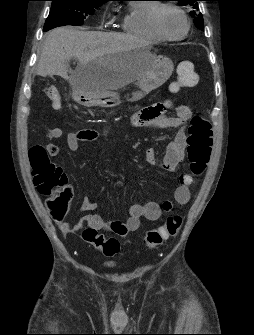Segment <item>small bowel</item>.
Returning <instances> with one entry per match:
<instances>
[{"label": "small bowel", "mask_w": 254, "mask_h": 335, "mask_svg": "<svg viewBox=\"0 0 254 335\" xmlns=\"http://www.w3.org/2000/svg\"><path fill=\"white\" fill-rule=\"evenodd\" d=\"M173 105V100L156 103L142 109L133 116V123L135 125H149L158 129L175 128L178 130L174 140L168 144L162 161L163 169L171 173L176 172L184 160L186 148L185 126L192 114L191 109L184 104H176L174 106L175 115L166 114V110ZM48 136L50 139H59L63 136V130L59 127H54L50 129ZM98 137L99 133L95 130L83 129L74 131L67 136V146L70 151L74 152L78 150L80 143L93 141ZM46 149L50 156H56L59 151L58 146L54 143L47 144ZM145 160L150 165L156 163V152L153 148L146 149ZM177 179L178 187L174 192V201L179 205H185L190 200L189 186L192 183V179L185 173L179 174ZM65 192L72 198L73 193L70 188H66ZM97 208V203L89 197H84L82 210L95 211ZM171 208L172 202L169 200H165L161 204L156 202H147L145 204L134 203L129 208V217L125 222L104 220L101 215L92 213L84 216L77 224L71 225L65 220L66 211L64 213L51 212V216L63 234H73L84 226H88L96 231L104 230L118 236H126L139 229L141 218L149 221H157L163 212H168Z\"/></svg>", "instance_id": "1"}]
</instances>
